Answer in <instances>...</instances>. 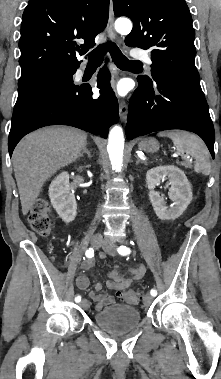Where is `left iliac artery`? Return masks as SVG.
<instances>
[{"label":"left iliac artery","mask_w":221,"mask_h":379,"mask_svg":"<svg viewBox=\"0 0 221 379\" xmlns=\"http://www.w3.org/2000/svg\"><path fill=\"white\" fill-rule=\"evenodd\" d=\"M118 253L121 254V255H128L130 254L131 250L130 248L126 247V246H120L118 249H117ZM150 294L155 297L157 295V290L156 289H151L150 291Z\"/></svg>","instance_id":"44dca946"}]
</instances>
